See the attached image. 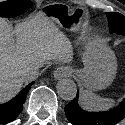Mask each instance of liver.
Returning <instances> with one entry per match:
<instances>
[{
    "label": "liver",
    "instance_id": "6515ba94",
    "mask_svg": "<svg viewBox=\"0 0 125 125\" xmlns=\"http://www.w3.org/2000/svg\"><path fill=\"white\" fill-rule=\"evenodd\" d=\"M70 60L68 39L43 13L16 24L14 29L0 19V103L20 91L26 70L50 61L66 63Z\"/></svg>",
    "mask_w": 125,
    "mask_h": 125
}]
</instances>
